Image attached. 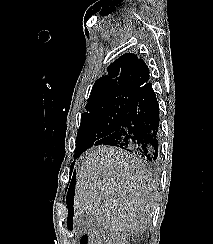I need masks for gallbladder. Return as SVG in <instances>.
I'll return each instance as SVG.
<instances>
[{"mask_svg": "<svg viewBox=\"0 0 213 244\" xmlns=\"http://www.w3.org/2000/svg\"><path fill=\"white\" fill-rule=\"evenodd\" d=\"M75 227L79 234L93 235L100 229V225L96 222L92 215H81L75 220Z\"/></svg>", "mask_w": 213, "mask_h": 244, "instance_id": "bac80fb5", "label": "gallbladder"}]
</instances>
